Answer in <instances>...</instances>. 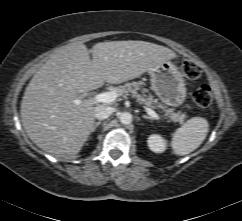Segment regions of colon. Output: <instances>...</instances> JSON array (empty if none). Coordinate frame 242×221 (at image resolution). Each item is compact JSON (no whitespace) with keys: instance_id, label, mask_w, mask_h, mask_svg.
Masks as SVG:
<instances>
[{"instance_id":"1","label":"colon","mask_w":242,"mask_h":221,"mask_svg":"<svg viewBox=\"0 0 242 221\" xmlns=\"http://www.w3.org/2000/svg\"><path fill=\"white\" fill-rule=\"evenodd\" d=\"M183 74L190 78L196 79L201 75V68L193 61L186 60L181 65ZM193 100L199 107L206 108L212 102V90L209 85H201L193 93Z\"/></svg>"}]
</instances>
